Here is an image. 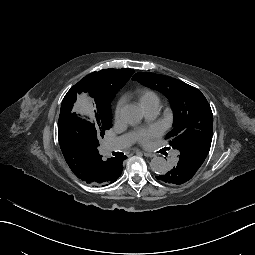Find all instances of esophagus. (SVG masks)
Segmentation results:
<instances>
[{
  "instance_id": "34e87169",
  "label": "esophagus",
  "mask_w": 255,
  "mask_h": 255,
  "mask_svg": "<svg viewBox=\"0 0 255 255\" xmlns=\"http://www.w3.org/2000/svg\"><path fill=\"white\" fill-rule=\"evenodd\" d=\"M143 155H144L145 157H154V156H155L154 154H152V153H147V152L143 153Z\"/></svg>"
}]
</instances>
